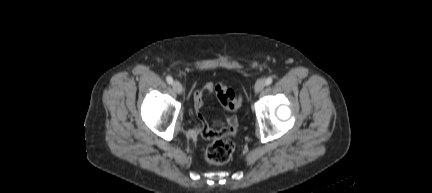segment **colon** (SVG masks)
Instances as JSON below:
<instances>
[{
  "mask_svg": "<svg viewBox=\"0 0 432 193\" xmlns=\"http://www.w3.org/2000/svg\"><path fill=\"white\" fill-rule=\"evenodd\" d=\"M217 99L220 105L229 112H236L242 105V99L226 84L218 83L215 86ZM234 142L228 137H219L213 140L206 148L205 160L212 165H220L229 161L234 152Z\"/></svg>",
  "mask_w": 432,
  "mask_h": 193,
  "instance_id": "5ec220e1",
  "label": "colon"
}]
</instances>
